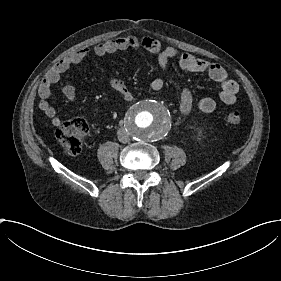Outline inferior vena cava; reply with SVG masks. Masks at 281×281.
<instances>
[{"instance_id": "inferior-vena-cava-1", "label": "inferior vena cava", "mask_w": 281, "mask_h": 281, "mask_svg": "<svg viewBox=\"0 0 281 281\" xmlns=\"http://www.w3.org/2000/svg\"><path fill=\"white\" fill-rule=\"evenodd\" d=\"M117 136L120 142L128 143L130 142V136L124 128H120L117 132Z\"/></svg>"}]
</instances>
